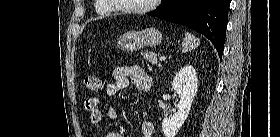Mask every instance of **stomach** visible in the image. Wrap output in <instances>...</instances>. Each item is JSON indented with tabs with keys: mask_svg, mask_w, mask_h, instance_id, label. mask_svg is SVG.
Returning <instances> with one entry per match:
<instances>
[{
	"mask_svg": "<svg viewBox=\"0 0 280 137\" xmlns=\"http://www.w3.org/2000/svg\"><path fill=\"white\" fill-rule=\"evenodd\" d=\"M162 34L154 28L141 31H128L121 35L116 46L124 51H137L145 46L156 47L161 43Z\"/></svg>",
	"mask_w": 280,
	"mask_h": 137,
	"instance_id": "obj_1",
	"label": "stomach"
}]
</instances>
